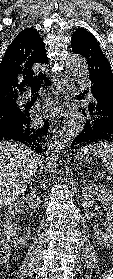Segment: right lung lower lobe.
<instances>
[{"instance_id": "1", "label": "right lung lower lobe", "mask_w": 113, "mask_h": 279, "mask_svg": "<svg viewBox=\"0 0 113 279\" xmlns=\"http://www.w3.org/2000/svg\"><path fill=\"white\" fill-rule=\"evenodd\" d=\"M46 85H50V81L47 77H43ZM22 115L6 124L0 125V140H15L21 143L27 144L37 153L42 152L41 140L46 135L49 122L44 120V126L36 129L30 125L31 117L29 112L22 111Z\"/></svg>"}]
</instances>
